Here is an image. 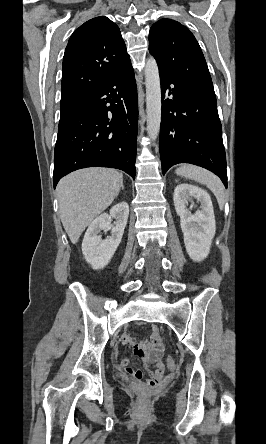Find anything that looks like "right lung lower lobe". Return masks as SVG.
<instances>
[{"mask_svg":"<svg viewBox=\"0 0 266 444\" xmlns=\"http://www.w3.org/2000/svg\"><path fill=\"white\" fill-rule=\"evenodd\" d=\"M138 99L131 61L61 112L53 185L86 167L117 168L135 178Z\"/></svg>","mask_w":266,"mask_h":444,"instance_id":"obj_1","label":"right lung lower lobe"}]
</instances>
